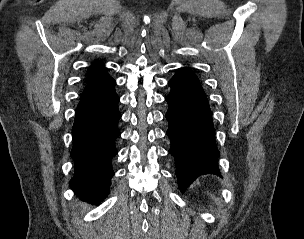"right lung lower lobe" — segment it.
<instances>
[{
	"mask_svg": "<svg viewBox=\"0 0 304 239\" xmlns=\"http://www.w3.org/2000/svg\"><path fill=\"white\" fill-rule=\"evenodd\" d=\"M115 80L105 72L84 89L73 125L75 175L70 184L84 201L99 204L109 193L111 160L117 154L115 139L120 135L119 96Z\"/></svg>",
	"mask_w": 304,
	"mask_h": 239,
	"instance_id": "obj_1",
	"label": "right lung lower lobe"
}]
</instances>
